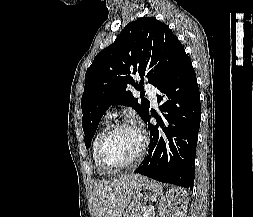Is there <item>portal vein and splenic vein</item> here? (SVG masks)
<instances>
[{
	"mask_svg": "<svg viewBox=\"0 0 253 217\" xmlns=\"http://www.w3.org/2000/svg\"><path fill=\"white\" fill-rule=\"evenodd\" d=\"M150 211H154V207H147V209H145L144 215L147 216Z\"/></svg>",
	"mask_w": 253,
	"mask_h": 217,
	"instance_id": "1",
	"label": "portal vein and splenic vein"
}]
</instances>
